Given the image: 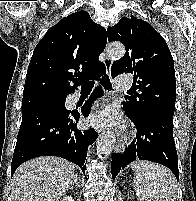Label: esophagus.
Here are the masks:
<instances>
[{
    "label": "esophagus",
    "instance_id": "1",
    "mask_svg": "<svg viewBox=\"0 0 196 201\" xmlns=\"http://www.w3.org/2000/svg\"><path fill=\"white\" fill-rule=\"evenodd\" d=\"M112 59L110 58H106L105 60V66H106V71H107V74L111 77V66H112ZM125 149V141L123 139H118L117 140V144L115 146V152L117 153H122Z\"/></svg>",
    "mask_w": 196,
    "mask_h": 201
}]
</instances>
